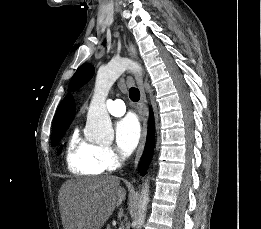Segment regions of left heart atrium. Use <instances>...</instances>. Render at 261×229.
Listing matches in <instances>:
<instances>
[{
	"mask_svg": "<svg viewBox=\"0 0 261 229\" xmlns=\"http://www.w3.org/2000/svg\"><path fill=\"white\" fill-rule=\"evenodd\" d=\"M116 144L125 155L130 154L141 138V126L134 116H127L115 126Z\"/></svg>",
	"mask_w": 261,
	"mask_h": 229,
	"instance_id": "left-heart-atrium-1",
	"label": "left heart atrium"
}]
</instances>
